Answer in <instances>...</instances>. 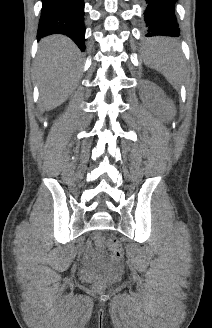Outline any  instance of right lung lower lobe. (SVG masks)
Here are the masks:
<instances>
[{
	"label": "right lung lower lobe",
	"instance_id": "right-lung-lower-lobe-1",
	"mask_svg": "<svg viewBox=\"0 0 212 328\" xmlns=\"http://www.w3.org/2000/svg\"><path fill=\"white\" fill-rule=\"evenodd\" d=\"M83 0H42L38 38L51 34H64L85 50Z\"/></svg>",
	"mask_w": 212,
	"mask_h": 328
}]
</instances>
